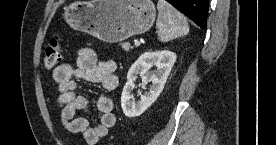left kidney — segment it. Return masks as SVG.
Segmentation results:
<instances>
[{
  "mask_svg": "<svg viewBox=\"0 0 276 145\" xmlns=\"http://www.w3.org/2000/svg\"><path fill=\"white\" fill-rule=\"evenodd\" d=\"M176 61V54L164 51H148L143 53L130 67L127 74V82L121 95V107L123 113L130 118L140 116L158 98L162 92L170 71ZM156 66L154 71L150 69ZM140 75L142 84L151 82L150 90L134 102L132 91L135 88V80Z\"/></svg>",
  "mask_w": 276,
  "mask_h": 145,
  "instance_id": "1",
  "label": "left kidney"
}]
</instances>
